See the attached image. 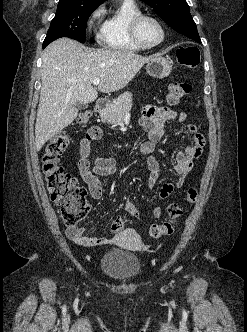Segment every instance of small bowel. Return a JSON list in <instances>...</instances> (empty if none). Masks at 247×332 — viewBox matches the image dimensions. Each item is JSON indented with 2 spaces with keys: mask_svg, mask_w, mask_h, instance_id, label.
I'll return each mask as SVG.
<instances>
[{
  "mask_svg": "<svg viewBox=\"0 0 247 332\" xmlns=\"http://www.w3.org/2000/svg\"><path fill=\"white\" fill-rule=\"evenodd\" d=\"M185 122L187 114L185 112H176L166 106H154L147 104L143 108L142 116L139 119L140 127L145 131L147 140L140 145V153L145 158V163L150 171L148 186L152 189L159 177V162L153 155L157 143L165 133V124L172 120ZM188 131L192 135V144L188 145L184 151H179L175 156L174 171L178 174V179L174 184L164 183L159 192L160 199H167L174 188H182L185 184L187 175L193 167V161L197 159L203 151L204 137L198 132L196 125L189 124ZM102 138V131L98 127H92L88 130L80 143V159L78 169L81 178L87 184L90 194L94 199H100L102 196V187L99 176L113 177L116 173V159L114 157L97 156L94 165L91 167L88 160L91 145ZM125 210L135 218L140 216L137 205L131 200L125 202ZM154 217L161 215V209L156 207L153 210ZM67 237L77 245L84 247H97L113 243L112 238L90 237L85 235L84 229L78 225H69L66 229Z\"/></svg>",
  "mask_w": 247,
  "mask_h": 332,
  "instance_id": "c3829d8e",
  "label": "small bowel"
}]
</instances>
